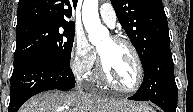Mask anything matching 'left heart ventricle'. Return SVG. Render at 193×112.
<instances>
[{
    "mask_svg": "<svg viewBox=\"0 0 193 112\" xmlns=\"http://www.w3.org/2000/svg\"><path fill=\"white\" fill-rule=\"evenodd\" d=\"M98 52L110 79L123 88L132 87L136 81L137 69L130 49L120 43L105 39Z\"/></svg>",
    "mask_w": 193,
    "mask_h": 112,
    "instance_id": "1",
    "label": "left heart ventricle"
}]
</instances>
